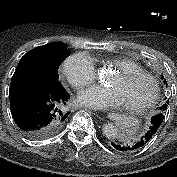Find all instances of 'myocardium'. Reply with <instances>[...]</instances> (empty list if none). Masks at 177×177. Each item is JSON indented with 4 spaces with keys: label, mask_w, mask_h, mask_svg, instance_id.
Wrapping results in <instances>:
<instances>
[{
    "label": "myocardium",
    "mask_w": 177,
    "mask_h": 177,
    "mask_svg": "<svg viewBox=\"0 0 177 177\" xmlns=\"http://www.w3.org/2000/svg\"><path fill=\"white\" fill-rule=\"evenodd\" d=\"M118 75L122 79H126V80H132L138 78L146 79L152 85L151 93L145 100L137 104L124 105L125 109L129 111H141L151 106L158 98L160 85L158 80L153 75L144 71L120 72Z\"/></svg>",
    "instance_id": "obj_1"
}]
</instances>
